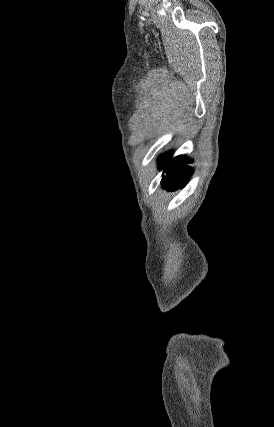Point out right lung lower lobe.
Listing matches in <instances>:
<instances>
[{"instance_id":"1","label":"right lung lower lobe","mask_w":274,"mask_h":427,"mask_svg":"<svg viewBox=\"0 0 274 427\" xmlns=\"http://www.w3.org/2000/svg\"><path fill=\"white\" fill-rule=\"evenodd\" d=\"M191 162L185 156H178L171 160V153H167L160 159V167L165 166L166 176L162 179V186L167 190H175L184 187L188 182L193 168L186 165Z\"/></svg>"}]
</instances>
